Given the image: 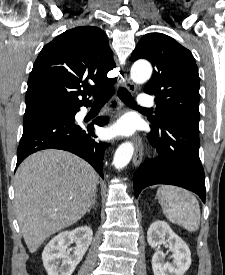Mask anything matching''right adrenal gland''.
Instances as JSON below:
<instances>
[{
	"mask_svg": "<svg viewBox=\"0 0 225 275\" xmlns=\"http://www.w3.org/2000/svg\"><path fill=\"white\" fill-rule=\"evenodd\" d=\"M96 199H97V190L95 191V193H94V195H93L92 202H91V205H90V207H89V209H88V212H90L92 206H95V204H96Z\"/></svg>",
	"mask_w": 225,
	"mask_h": 275,
	"instance_id": "2a0ac1e0",
	"label": "right adrenal gland"
}]
</instances>
